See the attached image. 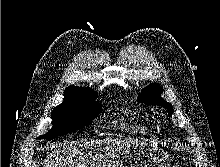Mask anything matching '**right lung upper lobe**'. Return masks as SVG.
I'll list each match as a JSON object with an SVG mask.
<instances>
[{"label": "right lung upper lobe", "mask_w": 220, "mask_h": 167, "mask_svg": "<svg viewBox=\"0 0 220 167\" xmlns=\"http://www.w3.org/2000/svg\"><path fill=\"white\" fill-rule=\"evenodd\" d=\"M98 97L90 88H82L77 86L67 87L64 93V102L75 100H94Z\"/></svg>", "instance_id": "cb5924a9"}]
</instances>
